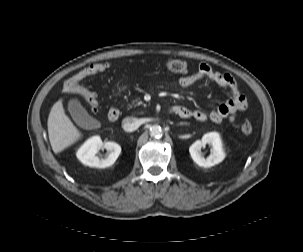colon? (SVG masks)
Instances as JSON below:
<instances>
[{"label": "colon", "instance_id": "5ec220e1", "mask_svg": "<svg viewBox=\"0 0 303 252\" xmlns=\"http://www.w3.org/2000/svg\"><path fill=\"white\" fill-rule=\"evenodd\" d=\"M110 68L111 65L108 63L91 64L68 79L66 81V87L71 94L81 95L90 105L92 111L97 112L98 102L96 94L93 92L84 91L81 87L78 86V82L87 76L107 73ZM165 68L170 72L185 73L188 69V66L185 61L172 59L165 62ZM240 129L244 136H250L253 133V126L247 120L242 122Z\"/></svg>", "mask_w": 303, "mask_h": 252}]
</instances>
